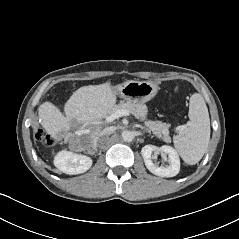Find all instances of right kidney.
I'll return each instance as SVG.
<instances>
[{
	"label": "right kidney",
	"instance_id": "ca27d5eb",
	"mask_svg": "<svg viewBox=\"0 0 239 239\" xmlns=\"http://www.w3.org/2000/svg\"><path fill=\"white\" fill-rule=\"evenodd\" d=\"M54 165L63 173L75 175L86 172L92 166V159L85 155L63 150L55 156Z\"/></svg>",
	"mask_w": 239,
	"mask_h": 239
}]
</instances>
